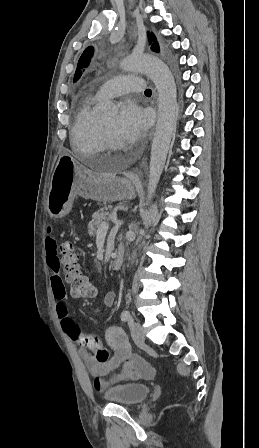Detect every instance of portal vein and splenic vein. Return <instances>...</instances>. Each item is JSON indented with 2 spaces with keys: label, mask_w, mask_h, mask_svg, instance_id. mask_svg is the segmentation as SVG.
<instances>
[{
  "label": "portal vein and splenic vein",
  "mask_w": 259,
  "mask_h": 448,
  "mask_svg": "<svg viewBox=\"0 0 259 448\" xmlns=\"http://www.w3.org/2000/svg\"><path fill=\"white\" fill-rule=\"evenodd\" d=\"M114 220H116V218H114ZM108 230H109V224H107V222H101V224H99L97 234H102V232H104V234H106V232H108Z\"/></svg>",
  "instance_id": "obj_1"
}]
</instances>
